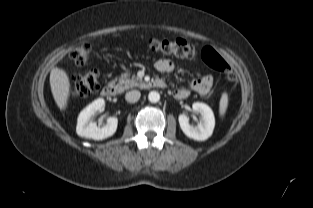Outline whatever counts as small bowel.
I'll use <instances>...</instances> for the list:
<instances>
[{
  "mask_svg": "<svg viewBox=\"0 0 313 208\" xmlns=\"http://www.w3.org/2000/svg\"><path fill=\"white\" fill-rule=\"evenodd\" d=\"M155 68L160 73H170L174 69V64L168 59H160L155 63ZM213 85V78L210 75H205L200 78L193 79L189 88H179L173 92L176 99H185L191 92H196L200 95L209 93Z\"/></svg>",
  "mask_w": 313,
  "mask_h": 208,
  "instance_id": "1",
  "label": "small bowel"
}]
</instances>
